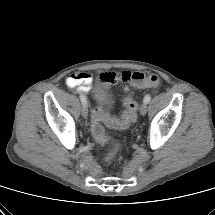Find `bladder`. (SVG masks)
<instances>
[{
  "instance_id": "31cf9c89",
  "label": "bladder",
  "mask_w": 215,
  "mask_h": 215,
  "mask_svg": "<svg viewBox=\"0 0 215 215\" xmlns=\"http://www.w3.org/2000/svg\"><path fill=\"white\" fill-rule=\"evenodd\" d=\"M95 97L98 105V111L105 115L114 104V98L110 90L103 84L99 85L95 92Z\"/></svg>"
}]
</instances>
